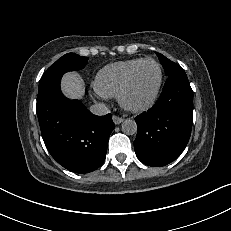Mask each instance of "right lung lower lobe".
I'll list each match as a JSON object with an SVG mask.
<instances>
[{"instance_id": "right-lung-lower-lobe-1", "label": "right lung lower lobe", "mask_w": 231, "mask_h": 231, "mask_svg": "<svg viewBox=\"0 0 231 231\" xmlns=\"http://www.w3.org/2000/svg\"><path fill=\"white\" fill-rule=\"evenodd\" d=\"M61 77L39 84L36 110L42 137L60 165L75 173H89L103 164L115 125L111 114L96 116L81 101L64 97Z\"/></svg>"}]
</instances>
